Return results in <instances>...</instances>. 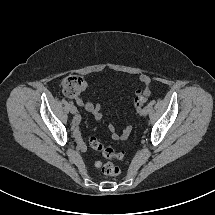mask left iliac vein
I'll return each instance as SVG.
<instances>
[{
	"label": "left iliac vein",
	"mask_w": 215,
	"mask_h": 215,
	"mask_svg": "<svg viewBox=\"0 0 215 215\" xmlns=\"http://www.w3.org/2000/svg\"><path fill=\"white\" fill-rule=\"evenodd\" d=\"M140 114L142 116H146L148 114V108L147 107L143 108V110L140 112Z\"/></svg>",
	"instance_id": "obj_1"
}]
</instances>
